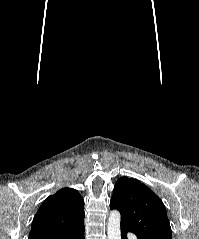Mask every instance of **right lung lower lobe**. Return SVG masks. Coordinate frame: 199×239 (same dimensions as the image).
I'll return each mask as SVG.
<instances>
[{
	"mask_svg": "<svg viewBox=\"0 0 199 239\" xmlns=\"http://www.w3.org/2000/svg\"><path fill=\"white\" fill-rule=\"evenodd\" d=\"M84 229V221H81L63 231L51 234L34 235L30 237V239H85Z\"/></svg>",
	"mask_w": 199,
	"mask_h": 239,
	"instance_id": "obj_1",
	"label": "right lung lower lobe"
}]
</instances>
